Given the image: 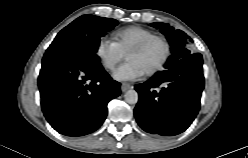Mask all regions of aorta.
<instances>
[{
  "instance_id": "1",
  "label": "aorta",
  "mask_w": 248,
  "mask_h": 158,
  "mask_svg": "<svg viewBox=\"0 0 248 158\" xmlns=\"http://www.w3.org/2000/svg\"><path fill=\"white\" fill-rule=\"evenodd\" d=\"M124 98L128 104H136L138 102L139 96L135 90H128L125 93Z\"/></svg>"
}]
</instances>
